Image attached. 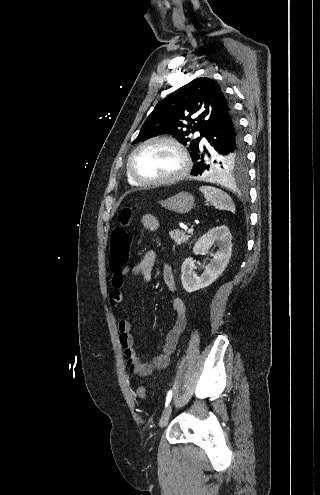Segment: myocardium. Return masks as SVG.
<instances>
[{
	"label": "myocardium",
	"mask_w": 320,
	"mask_h": 495,
	"mask_svg": "<svg viewBox=\"0 0 320 495\" xmlns=\"http://www.w3.org/2000/svg\"><path fill=\"white\" fill-rule=\"evenodd\" d=\"M154 143H165V144H169L170 146H172L177 151V153L180 157L181 166L175 174H173L169 177L160 178V179H152V180L143 179L135 173V171L133 169V160H134V157L138 151H140L142 148H144L150 144H154ZM126 168H127V174L130 176V178L137 185L162 186V185L174 184V183L180 181L181 179H183L189 171L190 160H189V155L187 153V150L181 142H179L178 140H176L172 137L157 136V137L149 138V139L143 141L142 143L137 145L132 150V152L128 156Z\"/></svg>",
	"instance_id": "myocardium-1"
}]
</instances>
